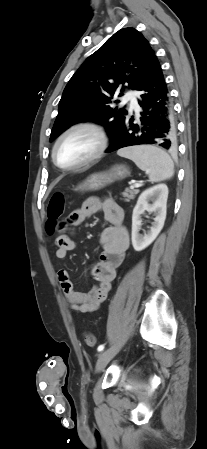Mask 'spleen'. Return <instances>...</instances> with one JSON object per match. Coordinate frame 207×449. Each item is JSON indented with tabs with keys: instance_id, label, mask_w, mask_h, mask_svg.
<instances>
[{
	"instance_id": "1",
	"label": "spleen",
	"mask_w": 207,
	"mask_h": 449,
	"mask_svg": "<svg viewBox=\"0 0 207 449\" xmlns=\"http://www.w3.org/2000/svg\"><path fill=\"white\" fill-rule=\"evenodd\" d=\"M118 155L132 160L145 171L151 182L170 179L174 175V163L162 149L152 145L133 146L120 149Z\"/></svg>"
}]
</instances>
